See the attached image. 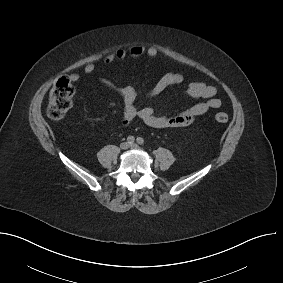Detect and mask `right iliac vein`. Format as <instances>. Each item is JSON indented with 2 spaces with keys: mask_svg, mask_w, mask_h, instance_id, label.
<instances>
[{
  "mask_svg": "<svg viewBox=\"0 0 283 283\" xmlns=\"http://www.w3.org/2000/svg\"><path fill=\"white\" fill-rule=\"evenodd\" d=\"M128 147H129V144L127 142H123V143L120 144V148L123 149V150L128 149Z\"/></svg>",
  "mask_w": 283,
  "mask_h": 283,
  "instance_id": "63e3f726",
  "label": "right iliac vein"
}]
</instances>
